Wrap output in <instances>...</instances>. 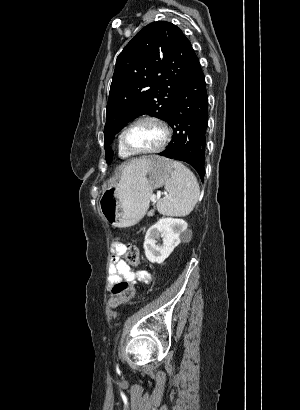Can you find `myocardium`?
<instances>
[{
  "instance_id": "obj_1",
  "label": "myocardium",
  "mask_w": 300,
  "mask_h": 410,
  "mask_svg": "<svg viewBox=\"0 0 300 410\" xmlns=\"http://www.w3.org/2000/svg\"><path fill=\"white\" fill-rule=\"evenodd\" d=\"M142 121H151L155 122L160 126V128L163 131V138L162 141L158 146L152 149H147V150H137L129 147L125 141V136L127 131L135 124L142 122ZM171 138V129L167 122L162 119L159 116L156 115H151V114H146V115H141L137 118H135L133 121H131L121 132L120 134V143L124 149H126L131 155H150V154H156L161 152L169 143Z\"/></svg>"
}]
</instances>
